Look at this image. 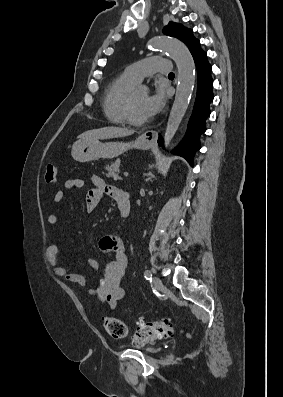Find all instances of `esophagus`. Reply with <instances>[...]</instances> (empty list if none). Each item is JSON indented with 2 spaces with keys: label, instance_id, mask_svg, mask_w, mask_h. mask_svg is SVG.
Returning <instances> with one entry per match:
<instances>
[{
  "label": "esophagus",
  "instance_id": "obj_1",
  "mask_svg": "<svg viewBox=\"0 0 283 397\" xmlns=\"http://www.w3.org/2000/svg\"><path fill=\"white\" fill-rule=\"evenodd\" d=\"M142 138L147 142H155L158 138V134L156 131L148 130L142 135Z\"/></svg>",
  "mask_w": 283,
  "mask_h": 397
}]
</instances>
